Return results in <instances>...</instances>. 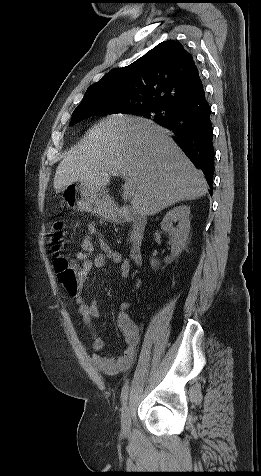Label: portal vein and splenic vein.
<instances>
[{
    "instance_id": "18ae733b",
    "label": "portal vein and splenic vein",
    "mask_w": 261,
    "mask_h": 476,
    "mask_svg": "<svg viewBox=\"0 0 261 476\" xmlns=\"http://www.w3.org/2000/svg\"><path fill=\"white\" fill-rule=\"evenodd\" d=\"M110 174H112L113 176H120V174L118 172H115V171H112L110 172ZM125 183L123 185V199L124 200H128L130 199L131 197H133L134 195V188H133V183L130 179L128 178H125Z\"/></svg>"
}]
</instances>
